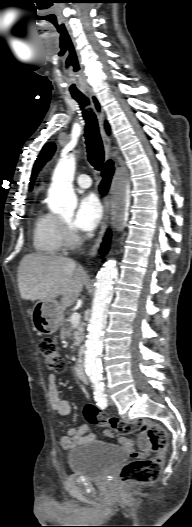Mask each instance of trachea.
Returning <instances> with one entry per match:
<instances>
[{
	"label": "trachea",
	"instance_id": "trachea-1",
	"mask_svg": "<svg viewBox=\"0 0 192 527\" xmlns=\"http://www.w3.org/2000/svg\"><path fill=\"white\" fill-rule=\"evenodd\" d=\"M72 96L79 102L81 109H84L89 104L88 98L81 93L73 94ZM82 114L86 121L85 139L88 160L96 170H100L104 161V148L99 133L98 122L92 111L83 110Z\"/></svg>",
	"mask_w": 192,
	"mask_h": 527
}]
</instances>
